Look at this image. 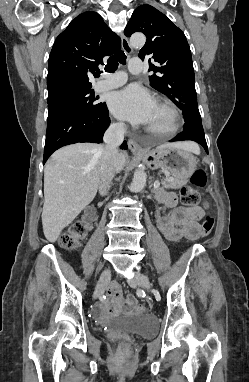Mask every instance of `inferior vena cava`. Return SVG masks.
I'll list each match as a JSON object with an SVG mask.
<instances>
[{
  "label": "inferior vena cava",
  "instance_id": "1",
  "mask_svg": "<svg viewBox=\"0 0 249 382\" xmlns=\"http://www.w3.org/2000/svg\"><path fill=\"white\" fill-rule=\"evenodd\" d=\"M124 133L125 124L116 123L110 125L104 134V163L101 168V177L99 181V193L101 196L107 195L115 173L120 170L118 163V147L124 140Z\"/></svg>",
  "mask_w": 249,
  "mask_h": 382
}]
</instances>
